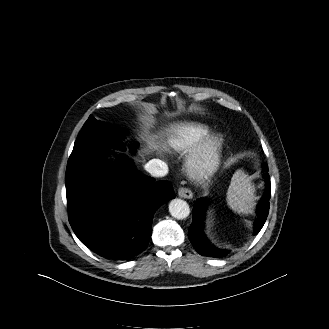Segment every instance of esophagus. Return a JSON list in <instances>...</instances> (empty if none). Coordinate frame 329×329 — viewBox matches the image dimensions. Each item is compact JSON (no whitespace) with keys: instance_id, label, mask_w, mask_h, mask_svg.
<instances>
[{"instance_id":"34e87169","label":"esophagus","mask_w":329,"mask_h":329,"mask_svg":"<svg viewBox=\"0 0 329 329\" xmlns=\"http://www.w3.org/2000/svg\"><path fill=\"white\" fill-rule=\"evenodd\" d=\"M178 195L181 198H186V199H190L193 197L192 191L190 189L184 188V187H181L178 189Z\"/></svg>"}]
</instances>
